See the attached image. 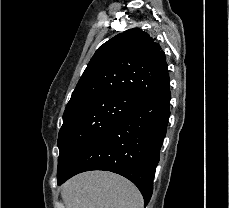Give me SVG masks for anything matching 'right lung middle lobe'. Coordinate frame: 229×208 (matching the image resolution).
I'll list each match as a JSON object with an SVG mask.
<instances>
[{"label": "right lung middle lobe", "mask_w": 229, "mask_h": 208, "mask_svg": "<svg viewBox=\"0 0 229 208\" xmlns=\"http://www.w3.org/2000/svg\"><path fill=\"white\" fill-rule=\"evenodd\" d=\"M140 104L131 97L113 94L84 101L65 112L58 137V176L66 173L89 143Z\"/></svg>", "instance_id": "right-lung-middle-lobe-1"}]
</instances>
